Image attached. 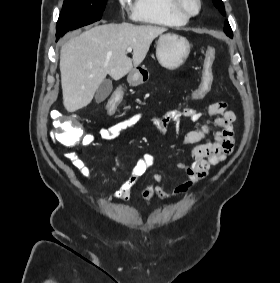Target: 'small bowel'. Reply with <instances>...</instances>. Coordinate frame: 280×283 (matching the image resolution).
Returning a JSON list of instances; mask_svg holds the SVG:
<instances>
[{
    "mask_svg": "<svg viewBox=\"0 0 280 283\" xmlns=\"http://www.w3.org/2000/svg\"><path fill=\"white\" fill-rule=\"evenodd\" d=\"M113 112V111H112ZM208 119L204 121L200 128L188 132H181L179 127L181 121L187 118L192 121H200L202 113L185 107L181 110H173L161 117L149 116L148 120L158 131H164L168 124L173 123L178 128L180 147L191 146L188 154L192 158L191 164L178 162L177 169L181 170L187 177V180L179 184L172 193H168L162 185H147L142 191V198L146 206L150 205L155 197L167 199L171 195H182L188 193L197 183L202 181L208 175L212 166L225 161L234 150V125L236 115L234 112L227 110L224 102H215L207 108ZM144 115L136 113L130 117L109 127L100 128L97 136L104 141H111L117 138L123 131L133 127L143 119ZM212 127L216 130L212 132ZM96 136L92 133L83 131L81 144L83 147L92 145ZM206 140L204 143L201 141ZM67 159L81 176L90 179L92 176L91 169L79 157L76 152H68ZM154 158L151 154L146 153L138 158L136 164L124 178L119 189L115 192L114 197L121 201H128L134 185L145 174L148 168L153 164ZM115 166L112 171H116ZM164 176L160 173L153 175L155 183H161Z\"/></svg>",
    "mask_w": 280,
    "mask_h": 283,
    "instance_id": "obj_1",
    "label": "small bowel"
}]
</instances>
